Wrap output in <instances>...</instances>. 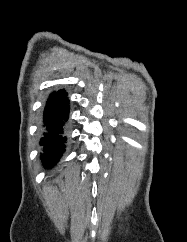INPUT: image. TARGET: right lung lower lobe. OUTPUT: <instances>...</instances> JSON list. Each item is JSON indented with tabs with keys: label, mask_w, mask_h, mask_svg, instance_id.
Masks as SVG:
<instances>
[{
	"label": "right lung lower lobe",
	"mask_w": 187,
	"mask_h": 242,
	"mask_svg": "<svg viewBox=\"0 0 187 242\" xmlns=\"http://www.w3.org/2000/svg\"><path fill=\"white\" fill-rule=\"evenodd\" d=\"M69 102L65 90L53 92L47 99L43 114V147L41 159L46 167L58 162L65 151L64 126L68 120Z\"/></svg>",
	"instance_id": "obj_1"
}]
</instances>
